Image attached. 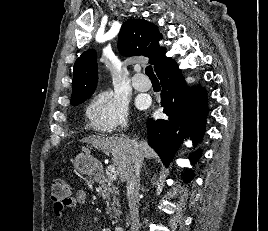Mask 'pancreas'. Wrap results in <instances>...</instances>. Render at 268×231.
<instances>
[{
  "label": "pancreas",
  "instance_id": "obj_1",
  "mask_svg": "<svg viewBox=\"0 0 268 231\" xmlns=\"http://www.w3.org/2000/svg\"><path fill=\"white\" fill-rule=\"evenodd\" d=\"M99 194L103 200H106L107 214L110 216V218L115 219L113 224H116L118 222L117 217L120 215V203L117 197L119 196V191L108 179L101 183L99 187ZM112 211L113 215L111 214Z\"/></svg>",
  "mask_w": 268,
  "mask_h": 231
}]
</instances>
